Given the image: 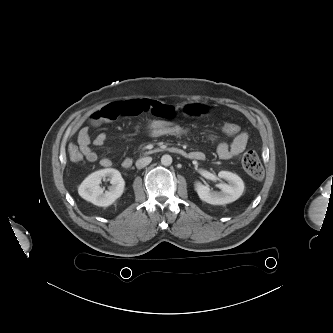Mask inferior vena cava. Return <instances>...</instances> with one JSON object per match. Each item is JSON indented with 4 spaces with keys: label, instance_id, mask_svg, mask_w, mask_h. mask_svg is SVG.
Here are the masks:
<instances>
[{
    "label": "inferior vena cava",
    "instance_id": "602c4592",
    "mask_svg": "<svg viewBox=\"0 0 333 333\" xmlns=\"http://www.w3.org/2000/svg\"><path fill=\"white\" fill-rule=\"evenodd\" d=\"M151 161H152L151 157L140 158L136 161V167L138 169H142V168L146 167L147 165H149Z\"/></svg>",
    "mask_w": 333,
    "mask_h": 333
}]
</instances>
